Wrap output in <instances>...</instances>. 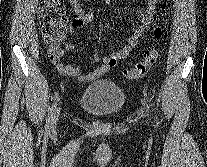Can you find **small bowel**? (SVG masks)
I'll return each mask as SVG.
<instances>
[{"instance_id":"small-bowel-1","label":"small bowel","mask_w":207,"mask_h":167,"mask_svg":"<svg viewBox=\"0 0 207 167\" xmlns=\"http://www.w3.org/2000/svg\"><path fill=\"white\" fill-rule=\"evenodd\" d=\"M68 2L74 12V18L68 26L70 32H74L83 25L93 21V15L82 6L80 0H68ZM156 5L157 0H145L144 9L139 12V23L133 29L126 42L116 50H108L104 54L96 52L93 61L89 65L72 67L62 61V57L75 47L73 39L65 40L64 35L57 45L49 46L48 53L50 60L61 74L74 76L81 82L93 81L103 76L110 69L115 67L119 60L127 57L138 44L143 34L152 23ZM62 44H64V49H60Z\"/></svg>"}]
</instances>
